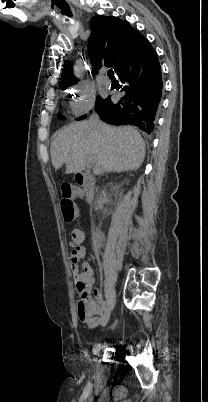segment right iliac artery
<instances>
[{
  "instance_id": "82829eb1",
  "label": "right iliac artery",
  "mask_w": 208,
  "mask_h": 402,
  "mask_svg": "<svg viewBox=\"0 0 208 402\" xmlns=\"http://www.w3.org/2000/svg\"><path fill=\"white\" fill-rule=\"evenodd\" d=\"M101 308H102V310H103L104 312H106L107 306H106V302H105V301L102 303Z\"/></svg>"
}]
</instances>
